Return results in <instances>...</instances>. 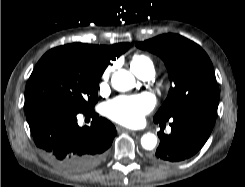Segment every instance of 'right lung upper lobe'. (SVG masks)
Returning a JSON list of instances; mask_svg holds the SVG:
<instances>
[{
    "mask_svg": "<svg viewBox=\"0 0 245 187\" xmlns=\"http://www.w3.org/2000/svg\"><path fill=\"white\" fill-rule=\"evenodd\" d=\"M93 52L103 54L110 63V60H114L115 57H118L123 52H125L130 44L128 43H119L112 46H97V45H87Z\"/></svg>",
    "mask_w": 245,
    "mask_h": 187,
    "instance_id": "right-lung-upper-lobe-1",
    "label": "right lung upper lobe"
}]
</instances>
